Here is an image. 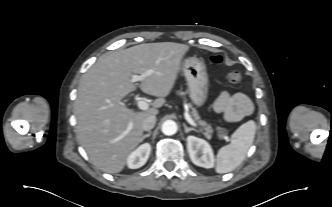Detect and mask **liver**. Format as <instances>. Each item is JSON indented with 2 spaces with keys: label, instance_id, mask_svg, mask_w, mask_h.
Here are the masks:
<instances>
[{
  "label": "liver",
  "instance_id": "liver-1",
  "mask_svg": "<svg viewBox=\"0 0 332 207\" xmlns=\"http://www.w3.org/2000/svg\"><path fill=\"white\" fill-rule=\"evenodd\" d=\"M188 50L187 45L174 42L140 44L102 55L82 75L74 106L76 132L96 167L106 173L124 169L127 157L142 142L143 121L159 113ZM150 70L139 87L158 99L141 112L127 108L121 100L136 90L133 74ZM129 124L132 129L125 134Z\"/></svg>",
  "mask_w": 332,
  "mask_h": 207
}]
</instances>
